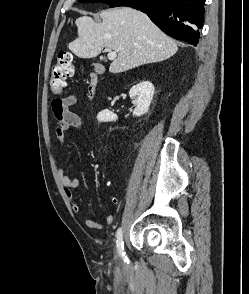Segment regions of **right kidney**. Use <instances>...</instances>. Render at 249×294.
Segmentation results:
<instances>
[{
  "label": "right kidney",
  "mask_w": 249,
  "mask_h": 294,
  "mask_svg": "<svg viewBox=\"0 0 249 294\" xmlns=\"http://www.w3.org/2000/svg\"><path fill=\"white\" fill-rule=\"evenodd\" d=\"M129 95L133 99V104L135 105L133 115L141 116L148 112L154 95V86L149 81H142L130 89ZM117 119V115L108 109L102 110L97 115V120L99 122H110L116 121Z\"/></svg>",
  "instance_id": "ca27d5eb"
}]
</instances>
